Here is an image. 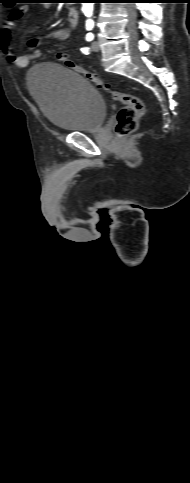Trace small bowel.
<instances>
[{"mask_svg": "<svg viewBox=\"0 0 190 483\" xmlns=\"http://www.w3.org/2000/svg\"><path fill=\"white\" fill-rule=\"evenodd\" d=\"M27 10L28 6L26 5H21L13 9L9 13L4 25L0 28V50L3 52L8 61L12 62L14 65L20 68L26 67L30 59L39 56L38 51H34L31 54L26 55H17L11 45L12 32L16 26V23L19 19H21V17ZM70 33V27L59 28L47 33L42 38L32 39L29 42V46L31 48H34L38 44H40L42 40L68 41L70 38Z\"/></svg>", "mask_w": 190, "mask_h": 483, "instance_id": "obj_1", "label": "small bowel"}]
</instances>
